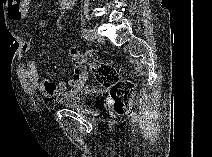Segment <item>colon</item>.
<instances>
[{"instance_id": "5ec220e1", "label": "colon", "mask_w": 212, "mask_h": 157, "mask_svg": "<svg viewBox=\"0 0 212 157\" xmlns=\"http://www.w3.org/2000/svg\"><path fill=\"white\" fill-rule=\"evenodd\" d=\"M69 54L76 68L75 81L83 83L87 76V69H90L96 80L110 90L115 113L127 114L134 93L133 82L121 79L119 71L113 65L103 61L102 53L99 50L81 52L72 48Z\"/></svg>"}]
</instances>
